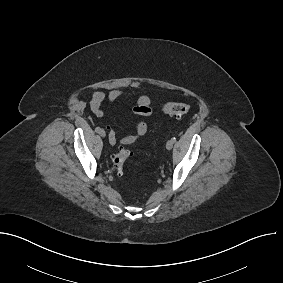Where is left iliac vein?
<instances>
[{
    "mask_svg": "<svg viewBox=\"0 0 283 283\" xmlns=\"http://www.w3.org/2000/svg\"><path fill=\"white\" fill-rule=\"evenodd\" d=\"M173 145H174V141L171 139L166 143V148L168 150H171L173 148Z\"/></svg>",
    "mask_w": 283,
    "mask_h": 283,
    "instance_id": "1",
    "label": "left iliac vein"
}]
</instances>
